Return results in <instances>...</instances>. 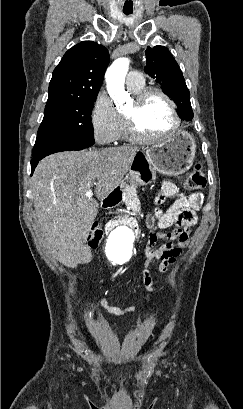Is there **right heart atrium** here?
I'll return each instance as SVG.
<instances>
[{"instance_id": "1", "label": "right heart atrium", "mask_w": 243, "mask_h": 409, "mask_svg": "<svg viewBox=\"0 0 243 409\" xmlns=\"http://www.w3.org/2000/svg\"><path fill=\"white\" fill-rule=\"evenodd\" d=\"M90 122L94 136L104 143H114L121 138L122 117L105 93H100L94 101Z\"/></svg>"}]
</instances>
